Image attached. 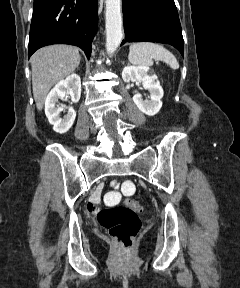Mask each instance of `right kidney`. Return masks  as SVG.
Returning <instances> with one entry per match:
<instances>
[{"mask_svg":"<svg viewBox=\"0 0 240 288\" xmlns=\"http://www.w3.org/2000/svg\"><path fill=\"white\" fill-rule=\"evenodd\" d=\"M66 94L71 96L72 102L79 101L81 96V79L77 74H72L65 80L58 82L45 100V114L48 121L53 125V130L60 134L66 133L71 128L76 117V112L72 107L68 108V112L64 118L60 117L63 107L57 103Z\"/></svg>","mask_w":240,"mask_h":288,"instance_id":"1","label":"right kidney"}]
</instances>
